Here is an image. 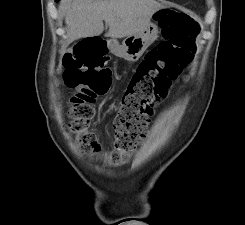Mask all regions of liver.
<instances>
[{"mask_svg": "<svg viewBox=\"0 0 245 225\" xmlns=\"http://www.w3.org/2000/svg\"><path fill=\"white\" fill-rule=\"evenodd\" d=\"M163 5L156 0H62L59 11L65 17L67 44L100 35L103 21L108 37L123 38L142 31Z\"/></svg>", "mask_w": 245, "mask_h": 225, "instance_id": "6515ba94", "label": "liver"}]
</instances>
